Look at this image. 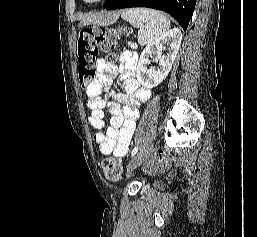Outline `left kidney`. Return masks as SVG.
I'll list each match as a JSON object with an SVG mask.
<instances>
[{"label":"left kidney","mask_w":257,"mask_h":237,"mask_svg":"<svg viewBox=\"0 0 257 237\" xmlns=\"http://www.w3.org/2000/svg\"><path fill=\"white\" fill-rule=\"evenodd\" d=\"M182 34L179 29H172L145 47L137 64L136 77L139 83L146 88H154L159 85L168 75L172 64L177 56ZM167 45L168 52L163 55L162 51ZM154 56L159 62V68H148L150 58Z\"/></svg>","instance_id":"left-kidney-1"}]
</instances>
